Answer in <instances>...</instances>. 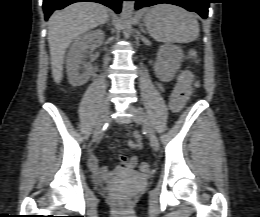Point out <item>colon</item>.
I'll use <instances>...</instances> for the list:
<instances>
[{
  "label": "colon",
  "instance_id": "colon-1",
  "mask_svg": "<svg viewBox=\"0 0 260 217\" xmlns=\"http://www.w3.org/2000/svg\"><path fill=\"white\" fill-rule=\"evenodd\" d=\"M189 57H190L191 60L195 61V60H196V54H195V52H193V51L190 52V53H189ZM138 167H139V169H140L141 171H143V172H148V171L151 170L150 165H149L148 163H146V162L140 163ZM113 201H114L117 205L125 206V205L128 203L129 199H128V197L125 196V195H117V196H114V197H113Z\"/></svg>",
  "mask_w": 260,
  "mask_h": 217
}]
</instances>
